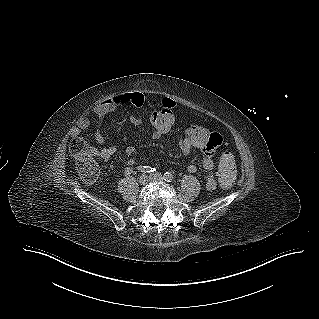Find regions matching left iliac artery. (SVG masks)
Returning <instances> with one entry per match:
<instances>
[{
	"label": "left iliac artery",
	"instance_id": "1",
	"mask_svg": "<svg viewBox=\"0 0 319 319\" xmlns=\"http://www.w3.org/2000/svg\"><path fill=\"white\" fill-rule=\"evenodd\" d=\"M164 180L167 182H173L174 181V177L170 172H166L164 174Z\"/></svg>",
	"mask_w": 319,
	"mask_h": 319
}]
</instances>
